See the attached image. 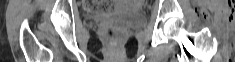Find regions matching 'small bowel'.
I'll return each mask as SVG.
<instances>
[{
  "label": "small bowel",
  "mask_w": 235,
  "mask_h": 62,
  "mask_svg": "<svg viewBox=\"0 0 235 62\" xmlns=\"http://www.w3.org/2000/svg\"><path fill=\"white\" fill-rule=\"evenodd\" d=\"M103 3H95L96 6H99V5H102ZM109 9H110V6L108 5Z\"/></svg>",
  "instance_id": "small-bowel-1"
}]
</instances>
